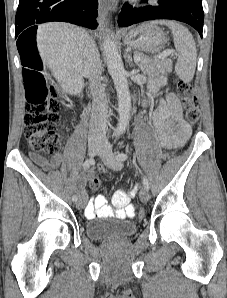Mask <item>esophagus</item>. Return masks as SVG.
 <instances>
[{
  "label": "esophagus",
  "mask_w": 227,
  "mask_h": 298,
  "mask_svg": "<svg viewBox=\"0 0 227 298\" xmlns=\"http://www.w3.org/2000/svg\"><path fill=\"white\" fill-rule=\"evenodd\" d=\"M108 2L112 6V8L115 10L117 7V0H108Z\"/></svg>",
  "instance_id": "obj_1"
}]
</instances>
